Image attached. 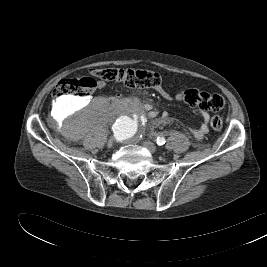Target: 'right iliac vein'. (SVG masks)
I'll list each match as a JSON object with an SVG mask.
<instances>
[{
    "mask_svg": "<svg viewBox=\"0 0 267 267\" xmlns=\"http://www.w3.org/2000/svg\"><path fill=\"white\" fill-rule=\"evenodd\" d=\"M115 139L114 138H110L107 142V146L109 148H111L114 145Z\"/></svg>",
    "mask_w": 267,
    "mask_h": 267,
    "instance_id": "obj_1",
    "label": "right iliac vein"
}]
</instances>
